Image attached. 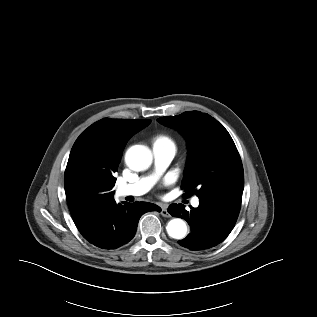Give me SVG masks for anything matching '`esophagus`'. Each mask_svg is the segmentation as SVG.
<instances>
[{
  "instance_id": "1",
  "label": "esophagus",
  "mask_w": 317,
  "mask_h": 317,
  "mask_svg": "<svg viewBox=\"0 0 317 317\" xmlns=\"http://www.w3.org/2000/svg\"><path fill=\"white\" fill-rule=\"evenodd\" d=\"M161 215L163 217H170V214L167 211V206L166 205H162L161 206Z\"/></svg>"
}]
</instances>
